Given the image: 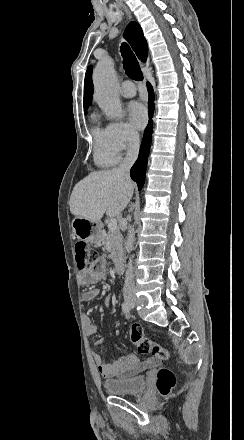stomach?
Returning a JSON list of instances; mask_svg holds the SVG:
<instances>
[{
    "instance_id": "stomach-1",
    "label": "stomach",
    "mask_w": 244,
    "mask_h": 440,
    "mask_svg": "<svg viewBox=\"0 0 244 440\" xmlns=\"http://www.w3.org/2000/svg\"><path fill=\"white\" fill-rule=\"evenodd\" d=\"M71 228L78 240L90 242V244L97 242L102 230L101 222H91L87 218H74Z\"/></svg>"
}]
</instances>
